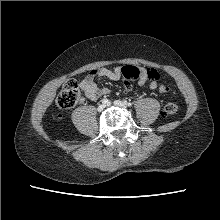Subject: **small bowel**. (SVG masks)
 I'll return each mask as SVG.
<instances>
[{"mask_svg": "<svg viewBox=\"0 0 220 220\" xmlns=\"http://www.w3.org/2000/svg\"><path fill=\"white\" fill-rule=\"evenodd\" d=\"M121 77V69L119 67L110 68H98L92 70L88 76H86L80 83L81 89L85 97L91 101H95L99 96L109 93L108 88H100L97 85L99 78H107L112 81H117ZM148 77V69L143 68L141 70V76L139 79V85H147L150 90H155L158 87L157 80H151Z\"/></svg>", "mask_w": 220, "mask_h": 220, "instance_id": "obj_1", "label": "small bowel"}]
</instances>
